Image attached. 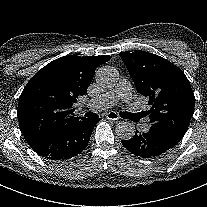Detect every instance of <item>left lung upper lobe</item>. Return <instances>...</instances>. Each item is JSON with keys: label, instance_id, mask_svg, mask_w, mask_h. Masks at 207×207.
Returning <instances> with one entry per match:
<instances>
[{"label": "left lung upper lobe", "instance_id": "left-lung-upper-lobe-1", "mask_svg": "<svg viewBox=\"0 0 207 207\" xmlns=\"http://www.w3.org/2000/svg\"><path fill=\"white\" fill-rule=\"evenodd\" d=\"M137 91L149 99L145 111L156 129L178 143L194 113L195 97L190 83L177 66L145 51L121 52Z\"/></svg>", "mask_w": 207, "mask_h": 207}]
</instances>
